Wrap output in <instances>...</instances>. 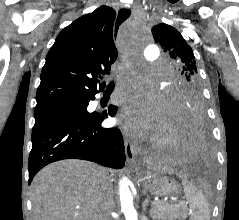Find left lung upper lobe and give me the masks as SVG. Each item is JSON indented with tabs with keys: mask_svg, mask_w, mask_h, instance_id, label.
I'll list each match as a JSON object with an SVG mask.
<instances>
[{
	"mask_svg": "<svg viewBox=\"0 0 239 220\" xmlns=\"http://www.w3.org/2000/svg\"><path fill=\"white\" fill-rule=\"evenodd\" d=\"M156 43L160 44L176 69V78L169 87L168 110L171 115L201 107L204 100L197 74L195 56L182 35L167 24L152 29Z\"/></svg>",
	"mask_w": 239,
	"mask_h": 220,
	"instance_id": "left-lung-upper-lobe-1",
	"label": "left lung upper lobe"
}]
</instances>
